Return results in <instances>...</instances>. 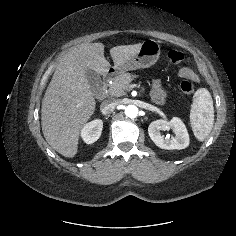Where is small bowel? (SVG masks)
Listing matches in <instances>:
<instances>
[{
    "instance_id": "1",
    "label": "small bowel",
    "mask_w": 236,
    "mask_h": 236,
    "mask_svg": "<svg viewBox=\"0 0 236 236\" xmlns=\"http://www.w3.org/2000/svg\"><path fill=\"white\" fill-rule=\"evenodd\" d=\"M180 76L194 80L197 79L196 74L188 67H184L180 70ZM152 97L159 103H163L166 99V92L163 89L161 82L158 80H155L152 83Z\"/></svg>"
}]
</instances>
